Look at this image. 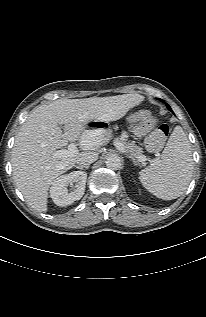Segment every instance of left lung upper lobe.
Instances as JSON below:
<instances>
[{
    "label": "left lung upper lobe",
    "mask_w": 206,
    "mask_h": 317,
    "mask_svg": "<svg viewBox=\"0 0 206 317\" xmlns=\"http://www.w3.org/2000/svg\"><path fill=\"white\" fill-rule=\"evenodd\" d=\"M166 106H167V108H168L170 111H172L171 108H170V106H169L168 104H166Z\"/></svg>",
    "instance_id": "left-lung-upper-lobe-1"
}]
</instances>
